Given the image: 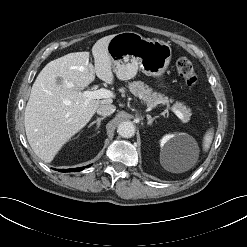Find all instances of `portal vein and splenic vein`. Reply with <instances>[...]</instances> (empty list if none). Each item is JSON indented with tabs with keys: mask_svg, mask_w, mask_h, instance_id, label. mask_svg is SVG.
Wrapping results in <instances>:
<instances>
[{
	"mask_svg": "<svg viewBox=\"0 0 247 247\" xmlns=\"http://www.w3.org/2000/svg\"><path fill=\"white\" fill-rule=\"evenodd\" d=\"M82 95L86 98L85 104H87L88 101L92 99H103L113 97V93L105 88H100L94 91H84L82 92ZM169 109H171V111L174 112L179 119L183 120V114L181 113V111L174 107H170Z\"/></svg>",
	"mask_w": 247,
	"mask_h": 247,
	"instance_id": "1",
	"label": "portal vein and splenic vein"
}]
</instances>
